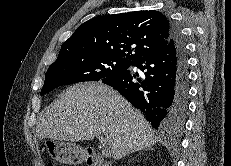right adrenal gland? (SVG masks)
<instances>
[{"mask_svg": "<svg viewBox=\"0 0 231 166\" xmlns=\"http://www.w3.org/2000/svg\"><path fill=\"white\" fill-rule=\"evenodd\" d=\"M144 150H153V148L152 147H146ZM141 152H139V154H140Z\"/></svg>", "mask_w": 231, "mask_h": 166, "instance_id": "obj_1", "label": "right adrenal gland"}]
</instances>
